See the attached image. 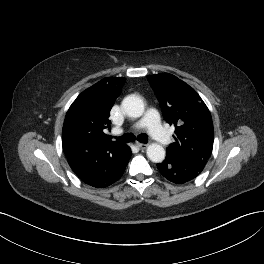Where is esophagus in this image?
<instances>
[{"label":"esophagus","mask_w":264,"mask_h":264,"mask_svg":"<svg viewBox=\"0 0 264 264\" xmlns=\"http://www.w3.org/2000/svg\"><path fill=\"white\" fill-rule=\"evenodd\" d=\"M135 146L138 147L139 149H145L148 145L145 143L136 142Z\"/></svg>","instance_id":"esophagus-1"}]
</instances>
